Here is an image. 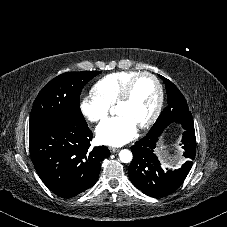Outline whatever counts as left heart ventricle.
<instances>
[{
  "instance_id": "b2bd125f",
  "label": "left heart ventricle",
  "mask_w": 227,
  "mask_h": 227,
  "mask_svg": "<svg viewBox=\"0 0 227 227\" xmlns=\"http://www.w3.org/2000/svg\"><path fill=\"white\" fill-rule=\"evenodd\" d=\"M157 102V89L149 77H141L136 82L130 99L115 107L118 115L128 117L139 126L153 113Z\"/></svg>"
}]
</instances>
